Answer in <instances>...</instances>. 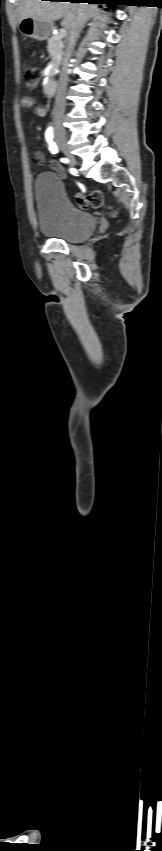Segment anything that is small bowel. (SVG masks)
Segmentation results:
<instances>
[{"label": "small bowel", "instance_id": "1", "mask_svg": "<svg viewBox=\"0 0 162 851\" xmlns=\"http://www.w3.org/2000/svg\"><path fill=\"white\" fill-rule=\"evenodd\" d=\"M21 106L26 109H33L35 115L38 117H44L46 115V109L42 105L37 104L32 98H23L21 100ZM33 161L38 166L50 165L56 170L61 171V167L57 161L53 159L50 162H47L44 154L40 150L34 151Z\"/></svg>", "mask_w": 162, "mask_h": 851}]
</instances>
